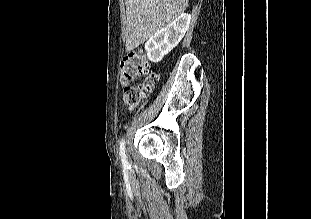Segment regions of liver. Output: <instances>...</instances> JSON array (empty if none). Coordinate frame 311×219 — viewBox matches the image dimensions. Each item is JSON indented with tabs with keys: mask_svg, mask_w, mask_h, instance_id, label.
I'll use <instances>...</instances> for the list:
<instances>
[{
	"mask_svg": "<svg viewBox=\"0 0 311 219\" xmlns=\"http://www.w3.org/2000/svg\"><path fill=\"white\" fill-rule=\"evenodd\" d=\"M189 0H126V51L144 43L170 24L188 6Z\"/></svg>",
	"mask_w": 311,
	"mask_h": 219,
	"instance_id": "1",
	"label": "liver"
}]
</instances>
